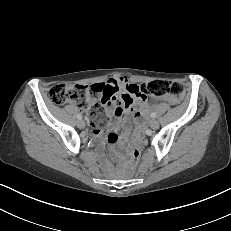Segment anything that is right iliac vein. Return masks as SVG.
Instances as JSON below:
<instances>
[{"label":"right iliac vein","mask_w":231,"mask_h":231,"mask_svg":"<svg viewBox=\"0 0 231 231\" xmlns=\"http://www.w3.org/2000/svg\"><path fill=\"white\" fill-rule=\"evenodd\" d=\"M77 126L79 127V128H84L85 127V122L83 121V120H79L78 122H77Z\"/></svg>","instance_id":"63e3f726"}]
</instances>
